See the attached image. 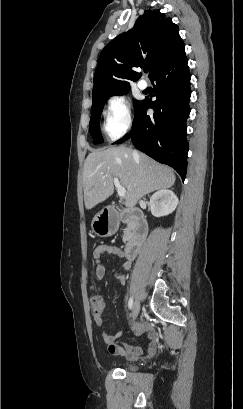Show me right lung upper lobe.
I'll return each instance as SVG.
<instances>
[{
    "label": "right lung upper lobe",
    "instance_id": "cb5924a9",
    "mask_svg": "<svg viewBox=\"0 0 243 409\" xmlns=\"http://www.w3.org/2000/svg\"><path fill=\"white\" fill-rule=\"evenodd\" d=\"M182 46L178 26L159 10H146L133 29L114 38L101 52L92 101L129 88L127 80L136 81L141 76L134 67L148 65L151 79Z\"/></svg>",
    "mask_w": 243,
    "mask_h": 409
}]
</instances>
